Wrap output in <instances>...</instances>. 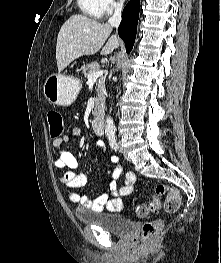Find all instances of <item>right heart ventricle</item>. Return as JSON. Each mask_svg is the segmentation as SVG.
Instances as JSON below:
<instances>
[{"label": "right heart ventricle", "mask_w": 221, "mask_h": 263, "mask_svg": "<svg viewBox=\"0 0 221 263\" xmlns=\"http://www.w3.org/2000/svg\"><path fill=\"white\" fill-rule=\"evenodd\" d=\"M80 10L87 16L99 19L103 13L99 0H77Z\"/></svg>", "instance_id": "obj_1"}]
</instances>
